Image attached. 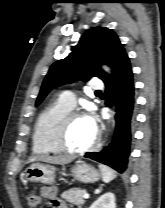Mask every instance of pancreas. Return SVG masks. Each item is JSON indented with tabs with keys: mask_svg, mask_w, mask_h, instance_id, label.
I'll return each instance as SVG.
<instances>
[{
	"mask_svg": "<svg viewBox=\"0 0 165 208\" xmlns=\"http://www.w3.org/2000/svg\"><path fill=\"white\" fill-rule=\"evenodd\" d=\"M85 193V189L72 188L67 191H64L61 194V197L65 199L67 202L72 203L74 205H78V207L81 208V205L84 204L83 196Z\"/></svg>",
	"mask_w": 165,
	"mask_h": 208,
	"instance_id": "cf45deb5",
	"label": "pancreas"
}]
</instances>
